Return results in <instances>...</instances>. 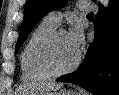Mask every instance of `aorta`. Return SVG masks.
I'll return each mask as SVG.
<instances>
[{
  "mask_svg": "<svg viewBox=\"0 0 119 95\" xmlns=\"http://www.w3.org/2000/svg\"><path fill=\"white\" fill-rule=\"evenodd\" d=\"M100 3H101L105 8H108V6H109V0H100Z\"/></svg>",
  "mask_w": 119,
  "mask_h": 95,
  "instance_id": "762f6f07",
  "label": "aorta"
}]
</instances>
